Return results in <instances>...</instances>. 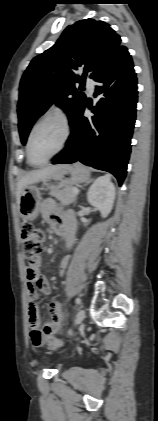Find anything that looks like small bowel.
<instances>
[{
    "label": "small bowel",
    "mask_w": 158,
    "mask_h": 421,
    "mask_svg": "<svg viewBox=\"0 0 158 421\" xmlns=\"http://www.w3.org/2000/svg\"><path fill=\"white\" fill-rule=\"evenodd\" d=\"M41 212L43 218L51 225L52 229L61 234L67 247H71L75 241V219L69 212L59 209L51 200H46L42 204ZM69 257L66 256L60 263V274H63ZM40 259L38 258L33 265L26 268L27 277V298L29 301L28 319L31 331V338L34 345L40 346L44 343L47 336L59 332L63 322L61 305L58 301H52L49 305L50 320L40 328L39 310L36 300L40 295H46L50 292V285L47 278L39 271ZM38 333L42 341L37 344L34 335Z\"/></svg>",
    "instance_id": "obj_1"
}]
</instances>
